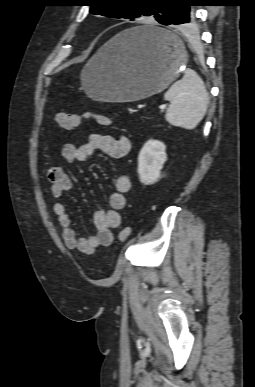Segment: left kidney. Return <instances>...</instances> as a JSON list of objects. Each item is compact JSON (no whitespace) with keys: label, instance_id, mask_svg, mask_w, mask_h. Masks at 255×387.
I'll return each instance as SVG.
<instances>
[{"label":"left kidney","instance_id":"1","mask_svg":"<svg viewBox=\"0 0 255 387\" xmlns=\"http://www.w3.org/2000/svg\"><path fill=\"white\" fill-rule=\"evenodd\" d=\"M166 146L158 140H148L138 156V174L145 185L153 184L160 177L167 155Z\"/></svg>","mask_w":255,"mask_h":387}]
</instances>
